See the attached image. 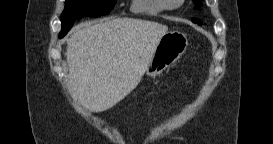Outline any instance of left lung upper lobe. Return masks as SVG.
Segmentation results:
<instances>
[{
    "mask_svg": "<svg viewBox=\"0 0 273 144\" xmlns=\"http://www.w3.org/2000/svg\"><path fill=\"white\" fill-rule=\"evenodd\" d=\"M195 1V3H196V9H200V6H201V1L200 0H194ZM192 20H194V19H192Z\"/></svg>",
    "mask_w": 273,
    "mask_h": 144,
    "instance_id": "obj_1",
    "label": "left lung upper lobe"
}]
</instances>
